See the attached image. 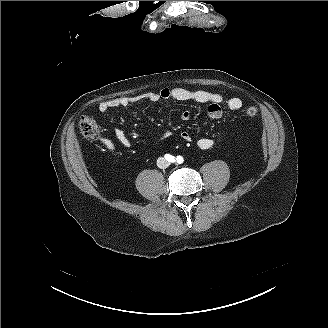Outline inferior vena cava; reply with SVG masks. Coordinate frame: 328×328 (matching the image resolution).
Listing matches in <instances>:
<instances>
[{"instance_id":"inferior-vena-cava-1","label":"inferior vena cava","mask_w":328,"mask_h":328,"mask_svg":"<svg viewBox=\"0 0 328 328\" xmlns=\"http://www.w3.org/2000/svg\"><path fill=\"white\" fill-rule=\"evenodd\" d=\"M157 163H159V164H166L167 161L164 158H158Z\"/></svg>"}]
</instances>
